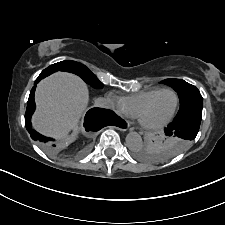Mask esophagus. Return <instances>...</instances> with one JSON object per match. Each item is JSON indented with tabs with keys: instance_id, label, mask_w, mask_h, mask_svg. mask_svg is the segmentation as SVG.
<instances>
[{
	"instance_id": "1",
	"label": "esophagus",
	"mask_w": 225,
	"mask_h": 225,
	"mask_svg": "<svg viewBox=\"0 0 225 225\" xmlns=\"http://www.w3.org/2000/svg\"><path fill=\"white\" fill-rule=\"evenodd\" d=\"M129 126H130L129 122L123 119L116 128L121 131H126L129 128Z\"/></svg>"
}]
</instances>
